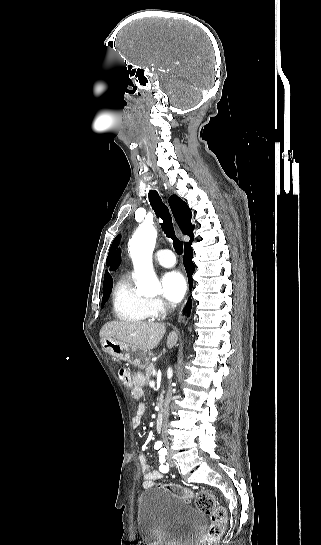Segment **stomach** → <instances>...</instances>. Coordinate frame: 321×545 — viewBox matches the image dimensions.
I'll return each mask as SVG.
<instances>
[{"mask_svg":"<svg viewBox=\"0 0 321 545\" xmlns=\"http://www.w3.org/2000/svg\"><path fill=\"white\" fill-rule=\"evenodd\" d=\"M100 343L104 353L112 355L113 359L127 361V363L138 367V369H146L150 363L151 355L149 351H141V349L127 345V343H122V341H117V339H102Z\"/></svg>","mask_w":321,"mask_h":545,"instance_id":"stomach-1","label":"stomach"}]
</instances>
